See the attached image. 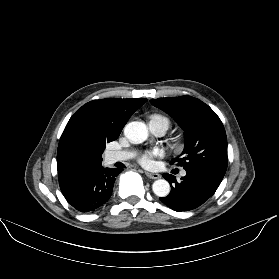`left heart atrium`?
<instances>
[{
    "label": "left heart atrium",
    "mask_w": 279,
    "mask_h": 279,
    "mask_svg": "<svg viewBox=\"0 0 279 279\" xmlns=\"http://www.w3.org/2000/svg\"><path fill=\"white\" fill-rule=\"evenodd\" d=\"M162 155H163V150L160 148L148 150L140 156L139 162L143 166H149L151 164V159L153 157H160Z\"/></svg>",
    "instance_id": "39dd6f15"
}]
</instances>
